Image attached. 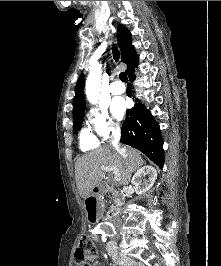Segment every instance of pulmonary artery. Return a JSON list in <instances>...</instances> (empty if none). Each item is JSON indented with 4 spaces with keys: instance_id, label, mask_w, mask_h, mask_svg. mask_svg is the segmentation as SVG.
<instances>
[{
    "instance_id": "e3ab8cb5",
    "label": "pulmonary artery",
    "mask_w": 221,
    "mask_h": 266,
    "mask_svg": "<svg viewBox=\"0 0 221 266\" xmlns=\"http://www.w3.org/2000/svg\"><path fill=\"white\" fill-rule=\"evenodd\" d=\"M109 90L114 95H119L124 93L125 86L118 80H114L109 87Z\"/></svg>"
}]
</instances>
